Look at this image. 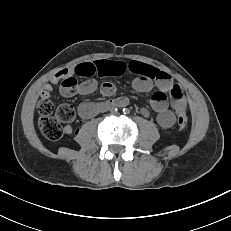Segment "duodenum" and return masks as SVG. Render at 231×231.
<instances>
[{"label":"duodenum","instance_id":"duodenum-1","mask_svg":"<svg viewBox=\"0 0 231 231\" xmlns=\"http://www.w3.org/2000/svg\"><path fill=\"white\" fill-rule=\"evenodd\" d=\"M115 105V102L114 101H110V102H108L106 105H105V107H111V106H114Z\"/></svg>","mask_w":231,"mask_h":231}]
</instances>
